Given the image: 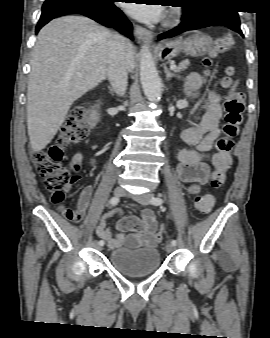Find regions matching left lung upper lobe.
I'll return each mask as SVG.
<instances>
[{
    "label": "left lung upper lobe",
    "mask_w": 270,
    "mask_h": 338,
    "mask_svg": "<svg viewBox=\"0 0 270 338\" xmlns=\"http://www.w3.org/2000/svg\"><path fill=\"white\" fill-rule=\"evenodd\" d=\"M229 0H182L184 18H193L213 7L227 4Z\"/></svg>",
    "instance_id": "1"
}]
</instances>
